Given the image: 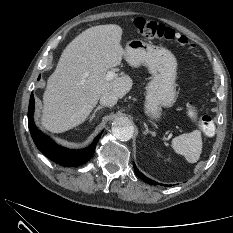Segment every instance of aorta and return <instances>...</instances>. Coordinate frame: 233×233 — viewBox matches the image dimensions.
Segmentation results:
<instances>
[{"mask_svg":"<svg viewBox=\"0 0 233 233\" xmlns=\"http://www.w3.org/2000/svg\"><path fill=\"white\" fill-rule=\"evenodd\" d=\"M112 133L120 141H128L134 134V127L128 117L118 116L112 123Z\"/></svg>","mask_w":233,"mask_h":233,"instance_id":"762f6f07","label":"aorta"}]
</instances>
